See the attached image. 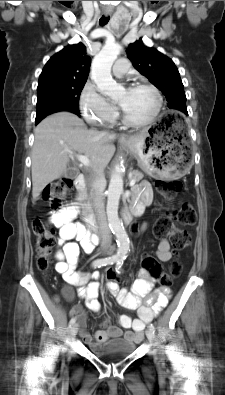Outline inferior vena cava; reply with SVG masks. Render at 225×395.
I'll return each instance as SVG.
<instances>
[{
  "instance_id": "1",
  "label": "inferior vena cava",
  "mask_w": 225,
  "mask_h": 395,
  "mask_svg": "<svg viewBox=\"0 0 225 395\" xmlns=\"http://www.w3.org/2000/svg\"><path fill=\"white\" fill-rule=\"evenodd\" d=\"M105 184H106V180L104 176V169L96 168L94 170V180L92 182L93 205L95 208L99 231H100L101 247L103 248V250H108L111 247V235L104 210L103 190Z\"/></svg>"
}]
</instances>
